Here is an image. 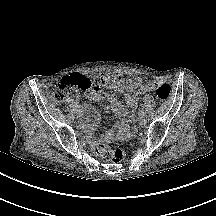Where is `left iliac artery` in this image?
Segmentation results:
<instances>
[{
    "mask_svg": "<svg viewBox=\"0 0 216 216\" xmlns=\"http://www.w3.org/2000/svg\"><path fill=\"white\" fill-rule=\"evenodd\" d=\"M142 111H143V108H142V107H139L138 110L136 111V116H137V117H140Z\"/></svg>",
    "mask_w": 216,
    "mask_h": 216,
    "instance_id": "left-iliac-artery-1",
    "label": "left iliac artery"
}]
</instances>
